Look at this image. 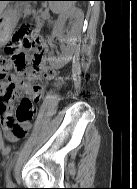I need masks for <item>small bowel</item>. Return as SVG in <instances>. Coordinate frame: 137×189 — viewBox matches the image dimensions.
<instances>
[{"mask_svg": "<svg viewBox=\"0 0 137 189\" xmlns=\"http://www.w3.org/2000/svg\"><path fill=\"white\" fill-rule=\"evenodd\" d=\"M47 67L51 69L52 73L44 76L43 72ZM39 68L40 74L35 81L25 80L20 72L12 75L2 90L0 88V125L9 142L23 138L31 128L32 119L35 116V113H33L31 116L27 115L25 118L18 119L16 111L14 112L13 109V102L26 95L27 97L21 98L20 102L27 99L35 107L45 89L46 82L57 85L60 81L56 71L45 62H41Z\"/></svg>", "mask_w": 137, "mask_h": 189, "instance_id": "1", "label": "small bowel"}]
</instances>
